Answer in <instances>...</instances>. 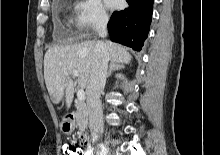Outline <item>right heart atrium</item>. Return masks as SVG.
<instances>
[{
  "instance_id": "d8ad5b80",
  "label": "right heart atrium",
  "mask_w": 220,
  "mask_h": 155,
  "mask_svg": "<svg viewBox=\"0 0 220 155\" xmlns=\"http://www.w3.org/2000/svg\"><path fill=\"white\" fill-rule=\"evenodd\" d=\"M75 26L81 33H90L103 28L108 14L101 0H78L75 3Z\"/></svg>"
}]
</instances>
